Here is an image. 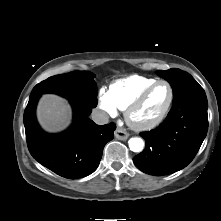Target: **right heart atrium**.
<instances>
[{"label":"right heart atrium","instance_id":"1","mask_svg":"<svg viewBox=\"0 0 221 221\" xmlns=\"http://www.w3.org/2000/svg\"><path fill=\"white\" fill-rule=\"evenodd\" d=\"M98 101H99V106L102 109V111L109 115V116H114L117 113V107L113 103L109 91L105 89H100L98 93Z\"/></svg>","mask_w":221,"mask_h":221}]
</instances>
